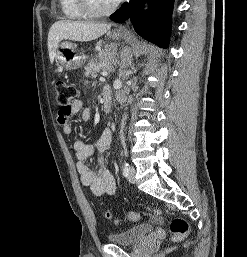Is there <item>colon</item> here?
Instances as JSON below:
<instances>
[{"label":"colon","instance_id":"5ec220e1","mask_svg":"<svg viewBox=\"0 0 247 257\" xmlns=\"http://www.w3.org/2000/svg\"><path fill=\"white\" fill-rule=\"evenodd\" d=\"M56 91V104L59 106L60 110L65 111L69 108L70 104L77 97V89L66 82H57L55 85ZM148 212L153 214L154 216L160 215V210L156 208H147ZM105 217L107 219L112 218V214L110 212L105 213ZM139 219V214L136 212H132L128 215V220L130 222H136ZM190 230L189 223L182 217H174L170 222V231L172 234L173 241H181L188 235Z\"/></svg>","mask_w":247,"mask_h":257}]
</instances>
